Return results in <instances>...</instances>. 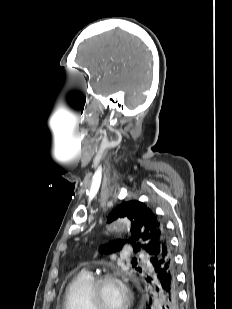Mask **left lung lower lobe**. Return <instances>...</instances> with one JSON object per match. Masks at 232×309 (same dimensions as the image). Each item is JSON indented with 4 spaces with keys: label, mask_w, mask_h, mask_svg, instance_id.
<instances>
[{
    "label": "left lung lower lobe",
    "mask_w": 232,
    "mask_h": 309,
    "mask_svg": "<svg viewBox=\"0 0 232 309\" xmlns=\"http://www.w3.org/2000/svg\"><path fill=\"white\" fill-rule=\"evenodd\" d=\"M145 281L152 289L146 309L154 306L161 309H177L176 267L170 243L162 244L158 256L150 260V270L145 274Z\"/></svg>",
    "instance_id": "1"
}]
</instances>
